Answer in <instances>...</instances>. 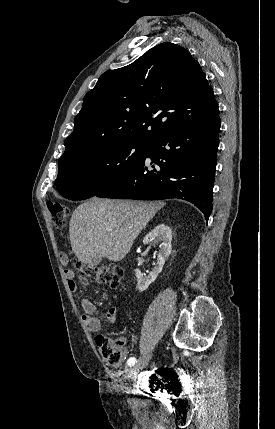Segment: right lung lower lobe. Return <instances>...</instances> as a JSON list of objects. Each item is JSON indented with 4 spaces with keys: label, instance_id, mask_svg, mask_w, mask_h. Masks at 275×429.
Returning a JSON list of instances; mask_svg holds the SVG:
<instances>
[{
    "label": "right lung lower lobe",
    "instance_id": "1",
    "mask_svg": "<svg viewBox=\"0 0 275 429\" xmlns=\"http://www.w3.org/2000/svg\"><path fill=\"white\" fill-rule=\"evenodd\" d=\"M218 114L189 123L152 139L141 163L97 197L193 203L205 215L212 211V189L219 145ZM155 164L150 166L146 158Z\"/></svg>",
    "mask_w": 275,
    "mask_h": 429
}]
</instances>
